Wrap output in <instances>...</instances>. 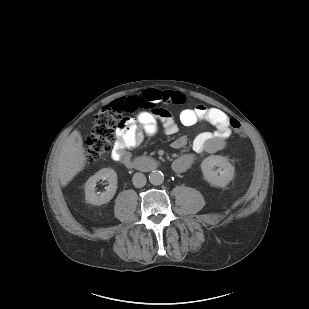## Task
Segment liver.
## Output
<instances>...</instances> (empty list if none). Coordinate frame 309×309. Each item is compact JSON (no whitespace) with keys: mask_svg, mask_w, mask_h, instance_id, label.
<instances>
[{"mask_svg":"<svg viewBox=\"0 0 309 309\" xmlns=\"http://www.w3.org/2000/svg\"><path fill=\"white\" fill-rule=\"evenodd\" d=\"M86 163L83 140L78 130H74L62 146L58 158L59 177L62 186H66L83 170Z\"/></svg>","mask_w":309,"mask_h":309,"instance_id":"obj_1","label":"liver"}]
</instances>
